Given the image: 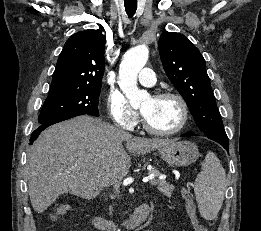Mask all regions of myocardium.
Instances as JSON below:
<instances>
[{"label":"myocardium","instance_id":"f54148a6","mask_svg":"<svg viewBox=\"0 0 261 231\" xmlns=\"http://www.w3.org/2000/svg\"><path fill=\"white\" fill-rule=\"evenodd\" d=\"M152 97L154 99H163V98L175 99L178 102L180 109H181V121H180L179 125L177 127H175L174 129L162 131V130H158V129L154 128L148 122V120L146 119L143 112H141L142 124H143L144 129L146 131H148L149 133L158 135V136H172V135H175V134L181 132L187 125L189 116H190L189 107H188L186 100L180 94L171 92V91L157 92Z\"/></svg>","mask_w":261,"mask_h":231}]
</instances>
